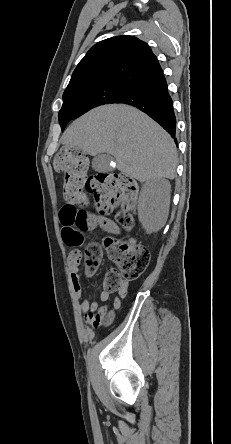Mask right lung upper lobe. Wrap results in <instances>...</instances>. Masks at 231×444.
Masks as SVG:
<instances>
[{"label": "right lung upper lobe", "instance_id": "right-lung-upper-lobe-1", "mask_svg": "<svg viewBox=\"0 0 231 444\" xmlns=\"http://www.w3.org/2000/svg\"><path fill=\"white\" fill-rule=\"evenodd\" d=\"M162 74L158 59L147 43L133 36H116L98 42L87 52L66 90L104 83L133 87Z\"/></svg>", "mask_w": 231, "mask_h": 444}]
</instances>
